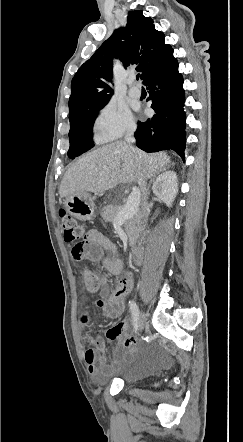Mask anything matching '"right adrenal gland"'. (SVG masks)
<instances>
[{"label":"right adrenal gland","mask_w":243,"mask_h":442,"mask_svg":"<svg viewBox=\"0 0 243 442\" xmlns=\"http://www.w3.org/2000/svg\"><path fill=\"white\" fill-rule=\"evenodd\" d=\"M171 165H173V164H168L167 168L171 167ZM165 169H166V168H164L163 170H165ZM155 177H156V174L153 175V176L150 178V181H149V184H148V187H147V190H148V191L150 190V186H151L152 182H154Z\"/></svg>","instance_id":"2a0ac1e0"}]
</instances>
